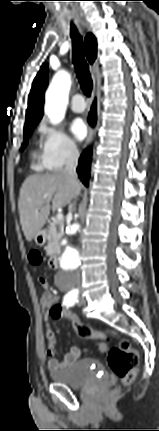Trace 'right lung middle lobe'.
<instances>
[{"mask_svg":"<svg viewBox=\"0 0 159 431\" xmlns=\"http://www.w3.org/2000/svg\"><path fill=\"white\" fill-rule=\"evenodd\" d=\"M36 127V125L35 126H31V127H28V128H26V129H24V138H25V140H24V142H23V144H22V150L25 148V146L27 145V142H28V137H29V135L31 134V132L33 131V129Z\"/></svg>","mask_w":159,"mask_h":431,"instance_id":"1","label":"right lung middle lobe"}]
</instances>
